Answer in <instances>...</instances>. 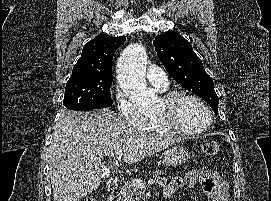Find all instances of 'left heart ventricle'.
<instances>
[{
	"mask_svg": "<svg viewBox=\"0 0 271 201\" xmlns=\"http://www.w3.org/2000/svg\"><path fill=\"white\" fill-rule=\"evenodd\" d=\"M157 113H169L177 124L187 129H199L209 122V115L204 107L191 99H181L171 108L159 99L155 108V114Z\"/></svg>",
	"mask_w": 271,
	"mask_h": 201,
	"instance_id": "1",
	"label": "left heart ventricle"
}]
</instances>
